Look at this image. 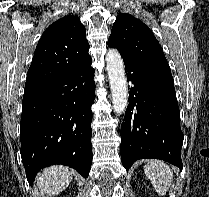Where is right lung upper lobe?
Masks as SVG:
<instances>
[{
	"mask_svg": "<svg viewBox=\"0 0 209 197\" xmlns=\"http://www.w3.org/2000/svg\"><path fill=\"white\" fill-rule=\"evenodd\" d=\"M86 30L77 16H65L41 36L27 72L25 90L48 83L90 58Z\"/></svg>",
	"mask_w": 209,
	"mask_h": 197,
	"instance_id": "right-lung-upper-lobe-1",
	"label": "right lung upper lobe"
}]
</instances>
